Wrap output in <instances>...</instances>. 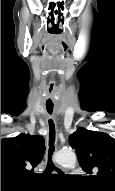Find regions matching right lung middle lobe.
I'll use <instances>...</instances> for the list:
<instances>
[{"label": "right lung middle lobe", "instance_id": "right-lung-middle-lobe-1", "mask_svg": "<svg viewBox=\"0 0 115 191\" xmlns=\"http://www.w3.org/2000/svg\"><path fill=\"white\" fill-rule=\"evenodd\" d=\"M11 190H14L12 188H1V191H11Z\"/></svg>", "mask_w": 115, "mask_h": 191}]
</instances>
